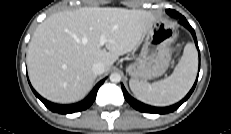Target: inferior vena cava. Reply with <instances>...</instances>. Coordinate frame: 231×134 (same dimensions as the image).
I'll use <instances>...</instances> for the list:
<instances>
[{
	"instance_id": "602c4592",
	"label": "inferior vena cava",
	"mask_w": 231,
	"mask_h": 134,
	"mask_svg": "<svg viewBox=\"0 0 231 134\" xmlns=\"http://www.w3.org/2000/svg\"><path fill=\"white\" fill-rule=\"evenodd\" d=\"M92 71L95 75H101L105 72V65L102 62H96L92 65Z\"/></svg>"
}]
</instances>
